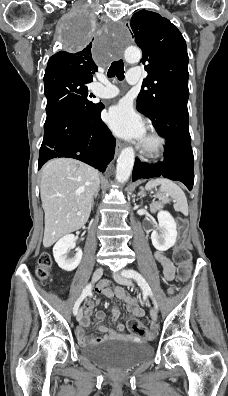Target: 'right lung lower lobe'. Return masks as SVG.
Returning a JSON list of instances; mask_svg holds the SVG:
<instances>
[{
    "label": "right lung lower lobe",
    "instance_id": "98d812e1",
    "mask_svg": "<svg viewBox=\"0 0 228 396\" xmlns=\"http://www.w3.org/2000/svg\"><path fill=\"white\" fill-rule=\"evenodd\" d=\"M103 108L104 105L98 103L91 112L70 110L47 118L38 170L52 158L68 157L104 172L114 157L116 141L101 120Z\"/></svg>",
    "mask_w": 228,
    "mask_h": 396
}]
</instances>
